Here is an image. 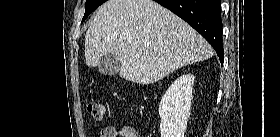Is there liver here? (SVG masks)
<instances>
[{
    "instance_id": "6515ba94",
    "label": "liver",
    "mask_w": 280,
    "mask_h": 137,
    "mask_svg": "<svg viewBox=\"0 0 280 137\" xmlns=\"http://www.w3.org/2000/svg\"><path fill=\"white\" fill-rule=\"evenodd\" d=\"M105 54L121 60V78L151 84L210 58L213 49L190 25L153 0H109L86 32V64L96 67Z\"/></svg>"
}]
</instances>
